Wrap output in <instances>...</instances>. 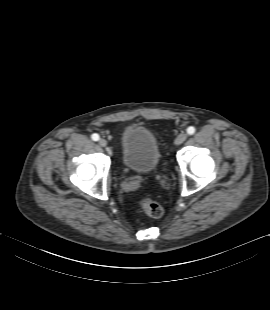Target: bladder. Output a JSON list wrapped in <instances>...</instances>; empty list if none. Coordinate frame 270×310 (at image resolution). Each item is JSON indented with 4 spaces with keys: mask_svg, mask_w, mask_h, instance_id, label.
<instances>
[{
    "mask_svg": "<svg viewBox=\"0 0 270 310\" xmlns=\"http://www.w3.org/2000/svg\"><path fill=\"white\" fill-rule=\"evenodd\" d=\"M161 159L159 142L145 126H127L121 135V161L129 170L150 173L156 170Z\"/></svg>",
    "mask_w": 270,
    "mask_h": 310,
    "instance_id": "obj_1",
    "label": "bladder"
}]
</instances>
